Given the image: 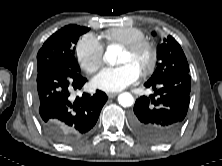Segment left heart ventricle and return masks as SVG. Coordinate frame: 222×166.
<instances>
[{
    "mask_svg": "<svg viewBox=\"0 0 222 166\" xmlns=\"http://www.w3.org/2000/svg\"><path fill=\"white\" fill-rule=\"evenodd\" d=\"M148 54L146 52H141L137 55H131L126 51H123L120 63H132L139 70H141L148 62Z\"/></svg>",
    "mask_w": 222,
    "mask_h": 166,
    "instance_id": "obj_1",
    "label": "left heart ventricle"
}]
</instances>
